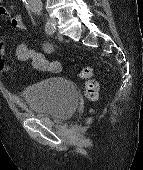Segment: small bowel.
<instances>
[{
    "mask_svg": "<svg viewBox=\"0 0 143 170\" xmlns=\"http://www.w3.org/2000/svg\"><path fill=\"white\" fill-rule=\"evenodd\" d=\"M0 0V17H11V24L18 30H25L26 26L21 15L11 16V12L8 7L1 4ZM5 45L0 40V72H8L9 67L4 61ZM18 60L26 61L30 60L34 69L41 72L56 71L55 67L59 65L58 62L50 61L47 57L24 43L17 46L15 51Z\"/></svg>",
    "mask_w": 143,
    "mask_h": 170,
    "instance_id": "c3829d8e",
    "label": "small bowel"
}]
</instances>
